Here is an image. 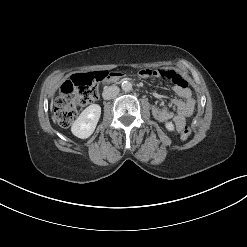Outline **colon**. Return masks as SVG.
Wrapping results in <instances>:
<instances>
[{"mask_svg":"<svg viewBox=\"0 0 247 247\" xmlns=\"http://www.w3.org/2000/svg\"><path fill=\"white\" fill-rule=\"evenodd\" d=\"M112 73L98 71L94 73H78L65 81L60 87L55 117L63 127L71 125L79 106H85L98 98L99 83L110 78ZM191 135V128L183 126L180 129V138L186 140Z\"/></svg>","mask_w":247,"mask_h":247,"instance_id":"1","label":"colon"}]
</instances>
